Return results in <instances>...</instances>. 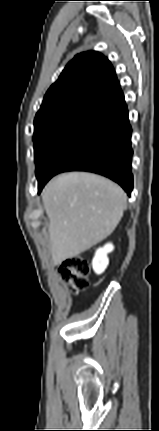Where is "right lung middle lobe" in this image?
<instances>
[{
	"label": "right lung middle lobe",
	"mask_w": 159,
	"mask_h": 431,
	"mask_svg": "<svg viewBox=\"0 0 159 431\" xmlns=\"http://www.w3.org/2000/svg\"><path fill=\"white\" fill-rule=\"evenodd\" d=\"M86 120L69 115H53L34 121V153L36 177L60 141Z\"/></svg>",
	"instance_id": "obj_1"
}]
</instances>
